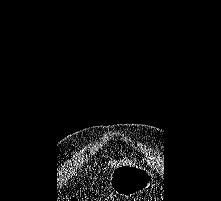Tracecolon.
<instances>
[{
    "mask_svg": "<svg viewBox=\"0 0 221 201\" xmlns=\"http://www.w3.org/2000/svg\"><path fill=\"white\" fill-rule=\"evenodd\" d=\"M63 201H79V200L75 197H68V198H65Z\"/></svg>",
    "mask_w": 221,
    "mask_h": 201,
    "instance_id": "1",
    "label": "colon"
}]
</instances>
